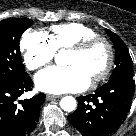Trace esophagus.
<instances>
[{"instance_id": "esophagus-1", "label": "esophagus", "mask_w": 136, "mask_h": 136, "mask_svg": "<svg viewBox=\"0 0 136 136\" xmlns=\"http://www.w3.org/2000/svg\"><path fill=\"white\" fill-rule=\"evenodd\" d=\"M59 97L60 96H58V95H51V94L46 95V99L47 100H53V99H57Z\"/></svg>"}]
</instances>
